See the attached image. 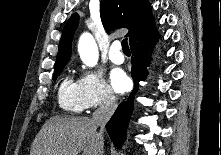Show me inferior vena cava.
Here are the masks:
<instances>
[{
  "mask_svg": "<svg viewBox=\"0 0 221 155\" xmlns=\"http://www.w3.org/2000/svg\"><path fill=\"white\" fill-rule=\"evenodd\" d=\"M116 107H117V104H116V99H115L113 92L111 90H107L104 95L102 104L93 113L92 120L95 122L97 126L100 127V131L98 133V137L101 140L99 155H103L102 141H103V132H104L105 125L108 122V120L111 118Z\"/></svg>",
  "mask_w": 221,
  "mask_h": 155,
  "instance_id": "obj_1",
  "label": "inferior vena cava"
}]
</instances>
